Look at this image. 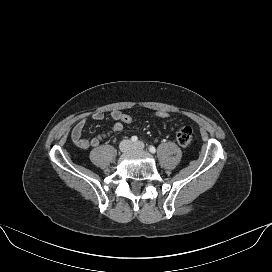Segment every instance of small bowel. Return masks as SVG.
Wrapping results in <instances>:
<instances>
[{
	"instance_id": "c3829d8e",
	"label": "small bowel",
	"mask_w": 272,
	"mask_h": 272,
	"mask_svg": "<svg viewBox=\"0 0 272 272\" xmlns=\"http://www.w3.org/2000/svg\"><path fill=\"white\" fill-rule=\"evenodd\" d=\"M120 111H112L110 113L111 119L114 121V124L109 132L100 133L93 138H87L83 136V130L87 123V118L80 119L73 127L71 131V140L72 142L81 149H89L97 147L101 144L103 140L112 134L119 133L123 129V123L120 121ZM104 113L102 111H95L90 115L94 121H101L104 119Z\"/></svg>"
}]
</instances>
